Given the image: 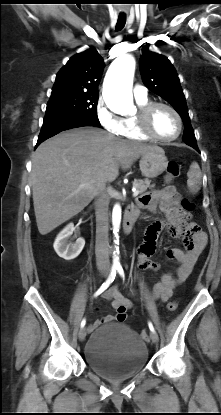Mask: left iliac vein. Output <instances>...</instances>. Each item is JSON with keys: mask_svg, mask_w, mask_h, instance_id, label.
Listing matches in <instances>:
<instances>
[{"mask_svg": "<svg viewBox=\"0 0 221 415\" xmlns=\"http://www.w3.org/2000/svg\"><path fill=\"white\" fill-rule=\"evenodd\" d=\"M150 338H151L153 343H158V341H159V338H158V335L156 334V332L151 331Z\"/></svg>", "mask_w": 221, "mask_h": 415, "instance_id": "4c4485c4", "label": "left iliac vein"}]
</instances>
